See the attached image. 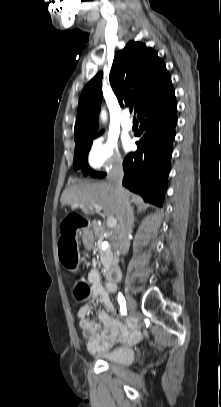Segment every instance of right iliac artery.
Segmentation results:
<instances>
[{
  "instance_id": "right-iliac-artery-1",
  "label": "right iliac artery",
  "mask_w": 221,
  "mask_h": 407,
  "mask_svg": "<svg viewBox=\"0 0 221 407\" xmlns=\"http://www.w3.org/2000/svg\"><path fill=\"white\" fill-rule=\"evenodd\" d=\"M117 300L120 305L121 315H126L127 314L126 302H125V298L122 293L118 294Z\"/></svg>"
}]
</instances>
